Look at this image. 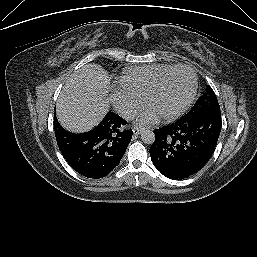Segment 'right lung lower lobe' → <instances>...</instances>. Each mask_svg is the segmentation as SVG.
<instances>
[{
    "label": "right lung lower lobe",
    "mask_w": 257,
    "mask_h": 257,
    "mask_svg": "<svg viewBox=\"0 0 257 257\" xmlns=\"http://www.w3.org/2000/svg\"><path fill=\"white\" fill-rule=\"evenodd\" d=\"M126 124L123 118L110 111L86 133L66 131L56 117L54 130L58 147L68 164L79 174L97 179L107 176L120 163L133 134L124 129Z\"/></svg>",
    "instance_id": "obj_1"
}]
</instances>
